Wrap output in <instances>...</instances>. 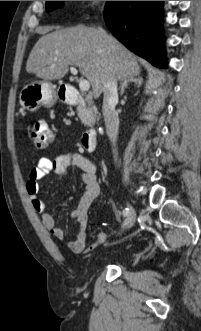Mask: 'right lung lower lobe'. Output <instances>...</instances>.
<instances>
[{
  "instance_id": "right-lung-lower-lobe-1",
  "label": "right lung lower lobe",
  "mask_w": 201,
  "mask_h": 331,
  "mask_svg": "<svg viewBox=\"0 0 201 331\" xmlns=\"http://www.w3.org/2000/svg\"><path fill=\"white\" fill-rule=\"evenodd\" d=\"M161 11L162 1H108L104 17L127 48L157 67H167Z\"/></svg>"
}]
</instances>
